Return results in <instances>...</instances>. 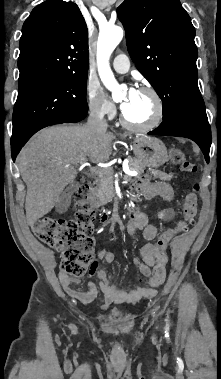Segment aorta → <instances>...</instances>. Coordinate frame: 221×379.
Here are the masks:
<instances>
[{
	"label": "aorta",
	"mask_w": 221,
	"mask_h": 379,
	"mask_svg": "<svg viewBox=\"0 0 221 379\" xmlns=\"http://www.w3.org/2000/svg\"><path fill=\"white\" fill-rule=\"evenodd\" d=\"M123 38V30L118 26H106L100 30L97 44V64L99 76L107 89L112 92L113 99L120 95L118 83L109 66V58Z\"/></svg>",
	"instance_id": "aorta-1"
}]
</instances>
